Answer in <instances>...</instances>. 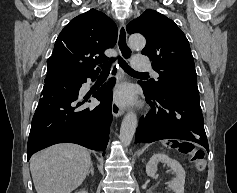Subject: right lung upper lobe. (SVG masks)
<instances>
[{"label":"right lung upper lobe","instance_id":"1","mask_svg":"<svg viewBox=\"0 0 237 193\" xmlns=\"http://www.w3.org/2000/svg\"><path fill=\"white\" fill-rule=\"evenodd\" d=\"M116 40L113 20L91 9L72 19L61 31L47 60V70L74 76L97 73L95 65L108 60L103 52L114 47Z\"/></svg>","mask_w":237,"mask_h":193}]
</instances>
